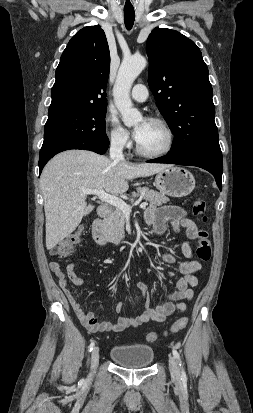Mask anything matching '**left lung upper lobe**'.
I'll return each instance as SVG.
<instances>
[{
  "label": "left lung upper lobe",
  "mask_w": 253,
  "mask_h": 413,
  "mask_svg": "<svg viewBox=\"0 0 253 413\" xmlns=\"http://www.w3.org/2000/svg\"><path fill=\"white\" fill-rule=\"evenodd\" d=\"M148 84L174 134L170 154L219 150L213 90L197 45L181 33L155 28L147 40Z\"/></svg>",
  "instance_id": "5c2ea615"
}]
</instances>
